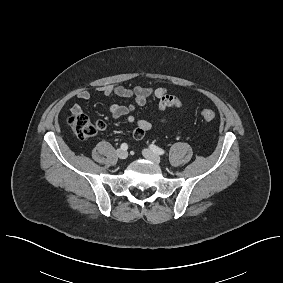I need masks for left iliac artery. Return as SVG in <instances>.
<instances>
[{
    "label": "left iliac artery",
    "instance_id": "1",
    "mask_svg": "<svg viewBox=\"0 0 283 283\" xmlns=\"http://www.w3.org/2000/svg\"><path fill=\"white\" fill-rule=\"evenodd\" d=\"M149 147L154 153H156L158 155H163L165 153V151L163 149L157 147L156 145L151 144Z\"/></svg>",
    "mask_w": 283,
    "mask_h": 283
}]
</instances>
